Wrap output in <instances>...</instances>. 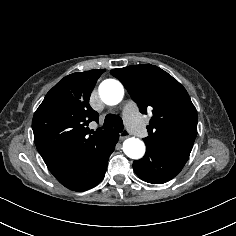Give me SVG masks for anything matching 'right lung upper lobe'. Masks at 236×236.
<instances>
[{
    "label": "right lung upper lobe",
    "mask_w": 236,
    "mask_h": 236,
    "mask_svg": "<svg viewBox=\"0 0 236 236\" xmlns=\"http://www.w3.org/2000/svg\"><path fill=\"white\" fill-rule=\"evenodd\" d=\"M104 71L94 69L64 77L36 110L32 121L34 141L47 166L85 151L114 131L93 132L86 127L98 121L89 98Z\"/></svg>",
    "instance_id": "obj_1"
}]
</instances>
